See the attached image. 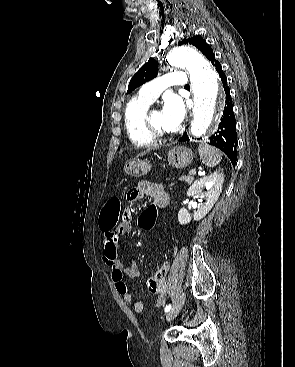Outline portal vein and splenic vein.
<instances>
[{"mask_svg":"<svg viewBox=\"0 0 295 367\" xmlns=\"http://www.w3.org/2000/svg\"><path fill=\"white\" fill-rule=\"evenodd\" d=\"M189 174H190V175H195V174H196V171H195L194 169H191V170L189 171Z\"/></svg>","mask_w":295,"mask_h":367,"instance_id":"18ae733b","label":"portal vein and splenic vein"}]
</instances>
